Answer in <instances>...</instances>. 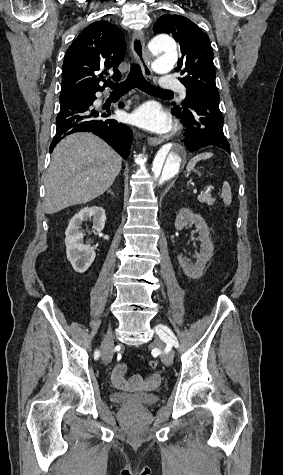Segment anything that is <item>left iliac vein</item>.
I'll list each match as a JSON object with an SVG mask.
<instances>
[{
    "label": "left iliac vein",
    "mask_w": 283,
    "mask_h": 475,
    "mask_svg": "<svg viewBox=\"0 0 283 475\" xmlns=\"http://www.w3.org/2000/svg\"><path fill=\"white\" fill-rule=\"evenodd\" d=\"M155 330L156 332L158 333V335L163 339V340H167L169 342H173V338L170 337L163 328H161L159 325L155 327ZM154 345L160 349L162 351V355H161V360L164 364L166 365H171L172 362H173V357H174V354L172 351L170 352H164V344L162 343V341L159 339V338H156L155 341H154Z\"/></svg>",
    "instance_id": "left-iliac-vein-1"
}]
</instances>
